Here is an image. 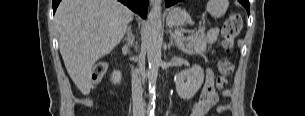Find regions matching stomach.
Segmentation results:
<instances>
[{
    "label": "stomach",
    "instance_id": "obj_1",
    "mask_svg": "<svg viewBox=\"0 0 305 116\" xmlns=\"http://www.w3.org/2000/svg\"><path fill=\"white\" fill-rule=\"evenodd\" d=\"M190 20L189 15L180 8H173L167 15V22L173 26H184Z\"/></svg>",
    "mask_w": 305,
    "mask_h": 116
}]
</instances>
